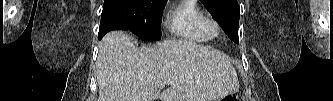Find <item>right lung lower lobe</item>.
I'll list each match as a JSON object with an SVG mask.
<instances>
[{
	"label": "right lung lower lobe",
	"mask_w": 333,
	"mask_h": 101,
	"mask_svg": "<svg viewBox=\"0 0 333 101\" xmlns=\"http://www.w3.org/2000/svg\"><path fill=\"white\" fill-rule=\"evenodd\" d=\"M124 27L123 21L113 12L102 11L98 39L111 30H120Z\"/></svg>",
	"instance_id": "right-lung-lower-lobe-1"
}]
</instances>
